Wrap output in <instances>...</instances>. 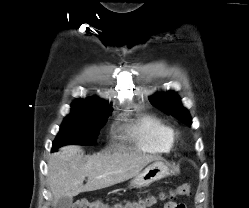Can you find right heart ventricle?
Here are the masks:
<instances>
[{
	"label": "right heart ventricle",
	"mask_w": 249,
	"mask_h": 208,
	"mask_svg": "<svg viewBox=\"0 0 249 208\" xmlns=\"http://www.w3.org/2000/svg\"><path fill=\"white\" fill-rule=\"evenodd\" d=\"M134 145L145 153H168L174 145V130L162 119L144 115L133 121L127 129Z\"/></svg>",
	"instance_id": "obj_1"
}]
</instances>
